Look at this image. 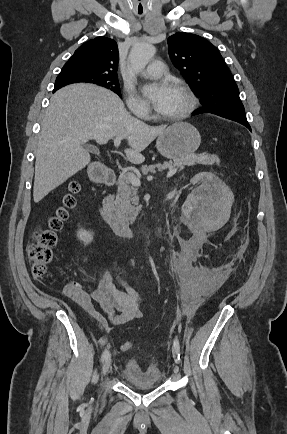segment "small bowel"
<instances>
[{
  "label": "small bowel",
  "instance_id": "c3829d8e",
  "mask_svg": "<svg viewBox=\"0 0 287 434\" xmlns=\"http://www.w3.org/2000/svg\"><path fill=\"white\" fill-rule=\"evenodd\" d=\"M114 281L118 282L124 291L117 289ZM63 295L86 311L106 332L137 319L142 314L139 293L129 285L116 265L101 273L94 289L85 290L78 282L69 281L63 289Z\"/></svg>",
  "mask_w": 287,
  "mask_h": 434
}]
</instances>
